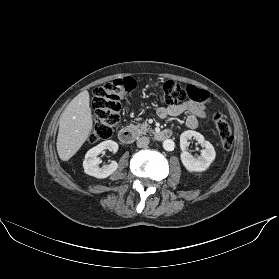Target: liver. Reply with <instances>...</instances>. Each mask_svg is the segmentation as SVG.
Returning a JSON list of instances; mask_svg holds the SVG:
<instances>
[{
	"mask_svg": "<svg viewBox=\"0 0 279 279\" xmlns=\"http://www.w3.org/2000/svg\"><path fill=\"white\" fill-rule=\"evenodd\" d=\"M93 118L87 90L79 93L67 105L59 118L57 152L62 161H68L91 134Z\"/></svg>",
	"mask_w": 279,
	"mask_h": 279,
	"instance_id": "1",
	"label": "liver"
}]
</instances>
